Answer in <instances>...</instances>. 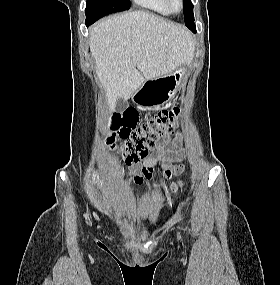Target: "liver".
<instances>
[{"mask_svg": "<svg viewBox=\"0 0 280 285\" xmlns=\"http://www.w3.org/2000/svg\"><path fill=\"white\" fill-rule=\"evenodd\" d=\"M89 46L96 75L113 111L146 81L172 73L194 51L189 31L145 11H132L96 23Z\"/></svg>", "mask_w": 280, "mask_h": 285, "instance_id": "6515ba94", "label": "liver"}]
</instances>
